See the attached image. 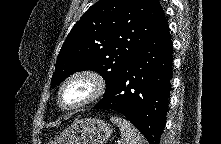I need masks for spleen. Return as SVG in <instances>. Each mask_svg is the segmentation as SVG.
<instances>
[{"mask_svg":"<svg viewBox=\"0 0 221 144\" xmlns=\"http://www.w3.org/2000/svg\"><path fill=\"white\" fill-rule=\"evenodd\" d=\"M110 120L120 128L124 144H143L142 135L129 121L118 116H113Z\"/></svg>","mask_w":221,"mask_h":144,"instance_id":"spleen-1","label":"spleen"}]
</instances>
